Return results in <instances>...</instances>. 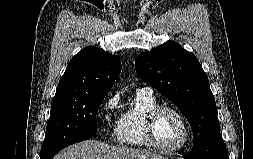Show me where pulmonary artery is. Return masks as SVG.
I'll list each match as a JSON object with an SVG mask.
<instances>
[{"mask_svg":"<svg viewBox=\"0 0 253 159\" xmlns=\"http://www.w3.org/2000/svg\"><path fill=\"white\" fill-rule=\"evenodd\" d=\"M137 92H147V93H152V92H153V90H152V88H151V87H142V88H139V89L137 90Z\"/></svg>","mask_w":253,"mask_h":159,"instance_id":"1","label":"pulmonary artery"}]
</instances>
